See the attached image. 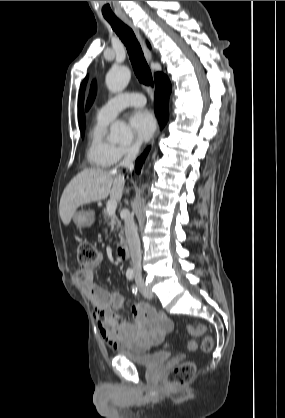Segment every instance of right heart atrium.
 <instances>
[{"label": "right heart atrium", "mask_w": 285, "mask_h": 418, "mask_svg": "<svg viewBox=\"0 0 285 418\" xmlns=\"http://www.w3.org/2000/svg\"><path fill=\"white\" fill-rule=\"evenodd\" d=\"M139 146L137 144L117 146L114 163L133 157L137 154Z\"/></svg>", "instance_id": "1"}]
</instances>
